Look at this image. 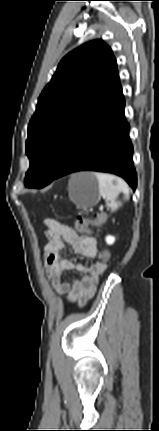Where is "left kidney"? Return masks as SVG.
<instances>
[{
  "label": "left kidney",
  "mask_w": 159,
  "mask_h": 431,
  "mask_svg": "<svg viewBox=\"0 0 159 431\" xmlns=\"http://www.w3.org/2000/svg\"><path fill=\"white\" fill-rule=\"evenodd\" d=\"M114 241H115V238L113 236H107L106 237L107 244L111 245L114 243Z\"/></svg>",
  "instance_id": "left-kidney-1"
}]
</instances>
